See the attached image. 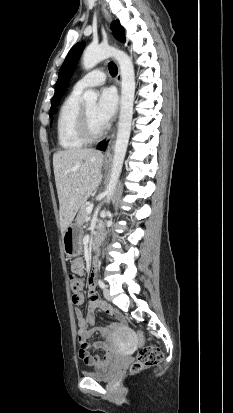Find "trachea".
<instances>
[{"instance_id": "trachea-1", "label": "trachea", "mask_w": 233, "mask_h": 413, "mask_svg": "<svg viewBox=\"0 0 233 413\" xmlns=\"http://www.w3.org/2000/svg\"><path fill=\"white\" fill-rule=\"evenodd\" d=\"M108 68H109V72H110L111 75L114 76V75H116V74L118 73V69H117V66H116L115 63L110 62V63L108 64Z\"/></svg>"}]
</instances>
